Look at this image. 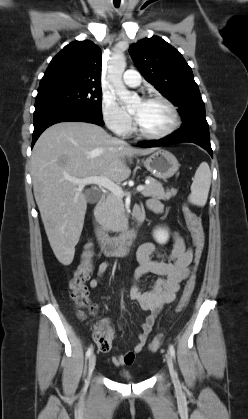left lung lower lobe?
<instances>
[{
	"label": "left lung lower lobe",
	"instance_id": "1",
	"mask_svg": "<svg viewBox=\"0 0 248 419\" xmlns=\"http://www.w3.org/2000/svg\"><path fill=\"white\" fill-rule=\"evenodd\" d=\"M183 142L195 143L204 148L213 157V152L210 145L209 126L206 117H196L173 134L159 139L146 142H139L141 147H155L160 145H172Z\"/></svg>",
	"mask_w": 248,
	"mask_h": 419
}]
</instances>
